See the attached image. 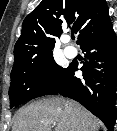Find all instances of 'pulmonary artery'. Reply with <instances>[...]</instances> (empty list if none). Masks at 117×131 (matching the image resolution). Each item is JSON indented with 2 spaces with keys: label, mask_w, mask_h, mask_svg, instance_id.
<instances>
[{
  "label": "pulmonary artery",
  "mask_w": 117,
  "mask_h": 131,
  "mask_svg": "<svg viewBox=\"0 0 117 131\" xmlns=\"http://www.w3.org/2000/svg\"><path fill=\"white\" fill-rule=\"evenodd\" d=\"M66 41H67V40H66ZM64 53H65V55H66L67 57L73 58V57L76 56L77 51H76V49L73 48V47H65Z\"/></svg>",
  "instance_id": "1"
}]
</instances>
